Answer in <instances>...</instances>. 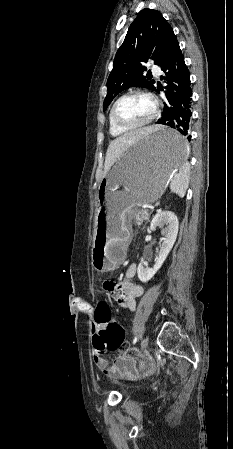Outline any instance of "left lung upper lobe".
<instances>
[{
    "mask_svg": "<svg viewBox=\"0 0 233 449\" xmlns=\"http://www.w3.org/2000/svg\"><path fill=\"white\" fill-rule=\"evenodd\" d=\"M155 46L159 52H153ZM178 48L176 35L162 14L152 9L141 10L116 53L113 69L107 80L108 93L104 99L103 111L118 93L129 87L142 86L155 90L154 82L143 75L147 69L141 63L153 59L156 65L162 67Z\"/></svg>",
    "mask_w": 233,
    "mask_h": 449,
    "instance_id": "obj_1",
    "label": "left lung upper lobe"
}]
</instances>
